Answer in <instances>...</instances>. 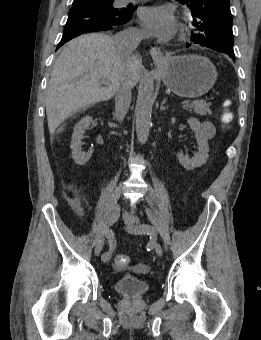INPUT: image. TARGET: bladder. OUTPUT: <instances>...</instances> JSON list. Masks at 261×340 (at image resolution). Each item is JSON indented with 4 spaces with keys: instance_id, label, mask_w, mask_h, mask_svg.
<instances>
[{
    "instance_id": "31cf9c89",
    "label": "bladder",
    "mask_w": 261,
    "mask_h": 340,
    "mask_svg": "<svg viewBox=\"0 0 261 340\" xmlns=\"http://www.w3.org/2000/svg\"><path fill=\"white\" fill-rule=\"evenodd\" d=\"M114 289L125 297H139L148 290L147 281L131 274L118 277L114 283Z\"/></svg>"
}]
</instances>
